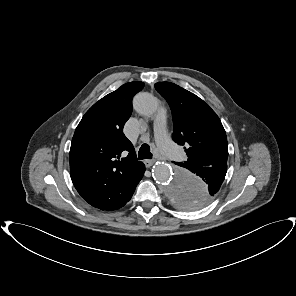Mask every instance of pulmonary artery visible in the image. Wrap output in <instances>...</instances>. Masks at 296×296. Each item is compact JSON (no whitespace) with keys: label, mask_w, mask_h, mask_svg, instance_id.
Wrapping results in <instances>:
<instances>
[{"label":"pulmonary artery","mask_w":296,"mask_h":296,"mask_svg":"<svg viewBox=\"0 0 296 296\" xmlns=\"http://www.w3.org/2000/svg\"><path fill=\"white\" fill-rule=\"evenodd\" d=\"M154 132L160 150L169 158H177L179 156L177 147L169 140L166 132V110L163 107L156 115Z\"/></svg>","instance_id":"e3ab8cb5"}]
</instances>
